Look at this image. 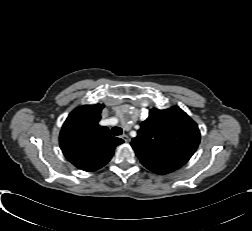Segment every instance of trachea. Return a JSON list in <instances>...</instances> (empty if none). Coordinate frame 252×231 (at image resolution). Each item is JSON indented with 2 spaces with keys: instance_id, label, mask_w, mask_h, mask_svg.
<instances>
[{
  "instance_id": "trachea-1",
  "label": "trachea",
  "mask_w": 252,
  "mask_h": 231,
  "mask_svg": "<svg viewBox=\"0 0 252 231\" xmlns=\"http://www.w3.org/2000/svg\"><path fill=\"white\" fill-rule=\"evenodd\" d=\"M111 132H112V135L119 136L122 134V129L120 127H113Z\"/></svg>"
}]
</instances>
